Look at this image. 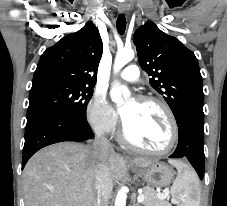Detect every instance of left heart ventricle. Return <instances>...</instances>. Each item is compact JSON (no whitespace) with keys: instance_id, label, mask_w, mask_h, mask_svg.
<instances>
[{"instance_id":"1","label":"left heart ventricle","mask_w":227,"mask_h":206,"mask_svg":"<svg viewBox=\"0 0 227 206\" xmlns=\"http://www.w3.org/2000/svg\"><path fill=\"white\" fill-rule=\"evenodd\" d=\"M130 138L151 150L165 148L171 138V127L165 112L157 105L129 101L122 109Z\"/></svg>"}]
</instances>
